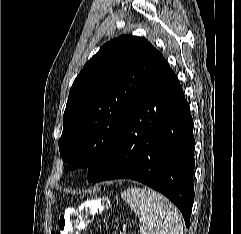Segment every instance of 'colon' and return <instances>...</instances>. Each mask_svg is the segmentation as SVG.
I'll return each mask as SVG.
<instances>
[{"label":"colon","mask_w":241,"mask_h":234,"mask_svg":"<svg viewBox=\"0 0 241 234\" xmlns=\"http://www.w3.org/2000/svg\"><path fill=\"white\" fill-rule=\"evenodd\" d=\"M107 207V201L101 199L92 202L82 209L65 211L58 220L60 234H80L94 218L95 214Z\"/></svg>","instance_id":"obj_1"}]
</instances>
